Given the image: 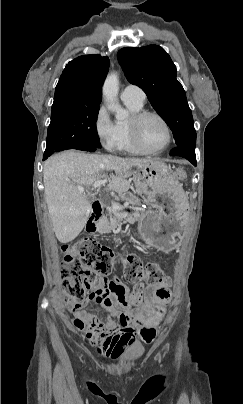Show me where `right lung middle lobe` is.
Wrapping results in <instances>:
<instances>
[{
  "label": "right lung middle lobe",
  "instance_id": "dd1d6c3e",
  "mask_svg": "<svg viewBox=\"0 0 243 404\" xmlns=\"http://www.w3.org/2000/svg\"><path fill=\"white\" fill-rule=\"evenodd\" d=\"M99 105L52 107L47 146L43 160L54 152L76 147L101 148L96 129Z\"/></svg>",
  "mask_w": 243,
  "mask_h": 404
}]
</instances>
